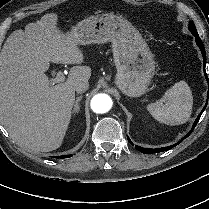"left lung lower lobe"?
I'll return each instance as SVG.
<instances>
[{
	"label": "left lung lower lobe",
	"instance_id": "obj_1",
	"mask_svg": "<svg viewBox=\"0 0 209 209\" xmlns=\"http://www.w3.org/2000/svg\"><path fill=\"white\" fill-rule=\"evenodd\" d=\"M192 34L195 36V41H196L198 47H199L200 50H201V53H202V56H203V66H204V71H205V65H206V52H205V48H204L203 42L201 41V39H200V37H199V35H198V32H197V33L194 32V33H192ZM205 77H206V79H207V81H208V77H207V75H206V71H205ZM207 98H209V90H208ZM207 103H208V100H207V102H206V104H205V107L203 108V110H202L201 113L198 115L197 119L195 120L192 129L188 132V134H187L186 136H184V137L182 138V140H184L185 138H187V137L192 133V131H193V129L195 128V126L197 125V123H198V121H199V119H200V117H201L203 111L205 110V108H206V106H207ZM127 139H128V141L131 143L130 138L127 137ZM182 140H180L178 143H176V144H174V145H172V146H167V147H162V148L151 149V148H143V147H140V146H135V148H136L138 151H140V152H142V153H145V154L158 153V152H163V151H167V150L171 149L172 147H174V146L180 144V143L182 142Z\"/></svg>",
	"mask_w": 209,
	"mask_h": 209
}]
</instances>
